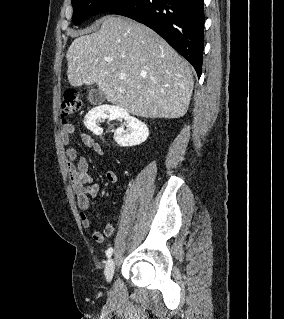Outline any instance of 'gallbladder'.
Here are the masks:
<instances>
[{
  "mask_svg": "<svg viewBox=\"0 0 284 319\" xmlns=\"http://www.w3.org/2000/svg\"><path fill=\"white\" fill-rule=\"evenodd\" d=\"M88 100L93 105H101L106 101V96L102 92H99L95 89H91L89 91Z\"/></svg>",
  "mask_w": 284,
  "mask_h": 319,
  "instance_id": "gallbladder-1",
  "label": "gallbladder"
}]
</instances>
